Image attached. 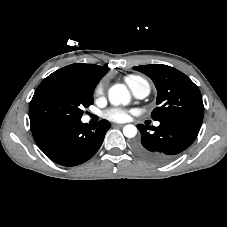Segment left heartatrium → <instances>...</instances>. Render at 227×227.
<instances>
[{
    "label": "left heart atrium",
    "mask_w": 227,
    "mask_h": 227,
    "mask_svg": "<svg viewBox=\"0 0 227 227\" xmlns=\"http://www.w3.org/2000/svg\"><path fill=\"white\" fill-rule=\"evenodd\" d=\"M105 117L114 122H124L129 118V112L121 108H112L105 113Z\"/></svg>",
    "instance_id": "obj_1"
}]
</instances>
